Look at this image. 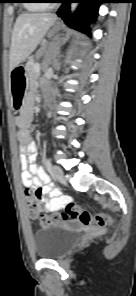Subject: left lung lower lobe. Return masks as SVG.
<instances>
[{"mask_svg": "<svg viewBox=\"0 0 136 296\" xmlns=\"http://www.w3.org/2000/svg\"><path fill=\"white\" fill-rule=\"evenodd\" d=\"M70 3H80L73 15L70 14ZM101 3H104V0H64L57 14L68 26L89 35L88 26L96 18Z\"/></svg>", "mask_w": 136, "mask_h": 296, "instance_id": "left-lung-lower-lobe-1", "label": "left lung lower lobe"}]
</instances>
